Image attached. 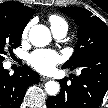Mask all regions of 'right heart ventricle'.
Here are the masks:
<instances>
[{"mask_svg":"<svg viewBox=\"0 0 108 108\" xmlns=\"http://www.w3.org/2000/svg\"><path fill=\"white\" fill-rule=\"evenodd\" d=\"M49 22H50L51 28L57 27V26H62V25H66L67 26L66 21L63 18H61V17H59L57 15L51 16L49 18Z\"/></svg>","mask_w":108,"mask_h":108,"instance_id":"1","label":"right heart ventricle"}]
</instances>
